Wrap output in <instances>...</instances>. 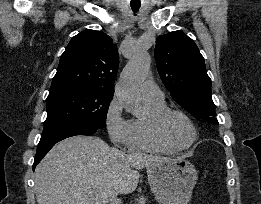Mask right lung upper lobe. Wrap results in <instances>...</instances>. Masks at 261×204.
Instances as JSON below:
<instances>
[{
  "label": "right lung upper lobe",
  "instance_id": "obj_1",
  "mask_svg": "<svg viewBox=\"0 0 261 204\" xmlns=\"http://www.w3.org/2000/svg\"><path fill=\"white\" fill-rule=\"evenodd\" d=\"M119 56L113 40L102 31L74 36L62 54L49 94L89 89L114 93Z\"/></svg>",
  "mask_w": 261,
  "mask_h": 204
}]
</instances>
